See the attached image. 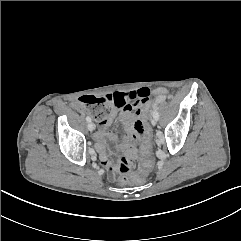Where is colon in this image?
I'll use <instances>...</instances> for the list:
<instances>
[{
  "mask_svg": "<svg viewBox=\"0 0 241 241\" xmlns=\"http://www.w3.org/2000/svg\"><path fill=\"white\" fill-rule=\"evenodd\" d=\"M141 119L144 122L142 127V144H141V161L139 162L140 171L137 174L131 172L132 160L128 156H123L119 159L117 170L121 176L119 182L121 184L141 183L146 178V173L149 172L151 159V128L152 123L149 121L148 111L150 110V103L142 101ZM115 101L110 97H95L82 96L74 102V106L81 112L90 114L97 122L106 120L112 112Z\"/></svg>",
  "mask_w": 241,
  "mask_h": 241,
  "instance_id": "colon-1",
  "label": "colon"
}]
</instances>
